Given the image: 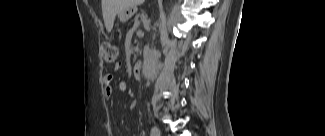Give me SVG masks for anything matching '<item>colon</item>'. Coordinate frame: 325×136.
<instances>
[{
  "mask_svg": "<svg viewBox=\"0 0 325 136\" xmlns=\"http://www.w3.org/2000/svg\"><path fill=\"white\" fill-rule=\"evenodd\" d=\"M103 58L108 63H114L119 55L118 48L111 43H104L102 45Z\"/></svg>",
  "mask_w": 325,
  "mask_h": 136,
  "instance_id": "colon-1",
  "label": "colon"
}]
</instances>
